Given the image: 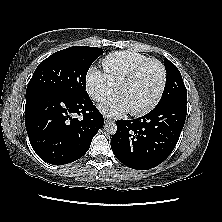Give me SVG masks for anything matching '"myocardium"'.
I'll use <instances>...</instances> for the list:
<instances>
[{"label": "myocardium", "mask_w": 222, "mask_h": 222, "mask_svg": "<svg viewBox=\"0 0 222 222\" xmlns=\"http://www.w3.org/2000/svg\"><path fill=\"white\" fill-rule=\"evenodd\" d=\"M150 63H156L160 69H161V73H162V79H161V84H160V88L156 94V96L153 98V100L151 102H149L147 105H145L142 108L139 109H134V110H130V113L132 115H144L148 112H150L160 101V99L162 98V95L164 93L165 87H166V82H167V71L166 68L164 66V64L155 58H150L147 59L145 61H143L142 63H140L139 65H137L118 85L117 90L118 92L121 91V89L130 84L131 82H133L135 80V78L138 76V74L141 72V70L146 67L148 64Z\"/></svg>", "instance_id": "obj_1"}]
</instances>
